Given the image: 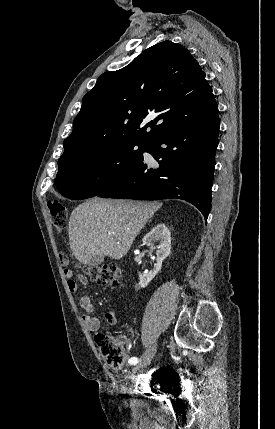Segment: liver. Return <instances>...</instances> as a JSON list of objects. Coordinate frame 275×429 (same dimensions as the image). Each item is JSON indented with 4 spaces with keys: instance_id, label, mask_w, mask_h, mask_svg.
Listing matches in <instances>:
<instances>
[{
    "instance_id": "obj_1",
    "label": "liver",
    "mask_w": 275,
    "mask_h": 429,
    "mask_svg": "<svg viewBox=\"0 0 275 429\" xmlns=\"http://www.w3.org/2000/svg\"><path fill=\"white\" fill-rule=\"evenodd\" d=\"M161 207L159 202L91 198L78 205L69 221V241L83 264L96 254L119 260L136 236Z\"/></svg>"
}]
</instances>
